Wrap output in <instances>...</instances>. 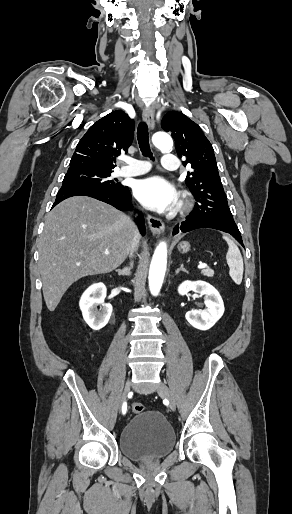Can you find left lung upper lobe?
Instances as JSON below:
<instances>
[{"mask_svg": "<svg viewBox=\"0 0 292 514\" xmlns=\"http://www.w3.org/2000/svg\"><path fill=\"white\" fill-rule=\"evenodd\" d=\"M162 128L172 133L176 151L187 173L186 185L194 195V211L201 217H220L233 220L218 173L214 150L201 128L178 111H170L162 119Z\"/></svg>", "mask_w": 292, "mask_h": 514, "instance_id": "obj_1", "label": "left lung upper lobe"}]
</instances>
